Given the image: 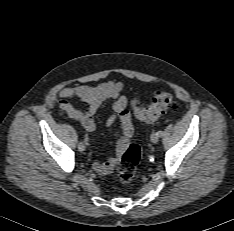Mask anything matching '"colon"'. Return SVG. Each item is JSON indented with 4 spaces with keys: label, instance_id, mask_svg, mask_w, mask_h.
Listing matches in <instances>:
<instances>
[{
    "label": "colon",
    "instance_id": "1",
    "mask_svg": "<svg viewBox=\"0 0 234 231\" xmlns=\"http://www.w3.org/2000/svg\"><path fill=\"white\" fill-rule=\"evenodd\" d=\"M131 104L133 113L138 120L152 123L173 106V98L170 93L162 91L157 93L146 107L141 106L138 100H133ZM140 155V147L137 144L129 143L127 145L116 169L117 177L122 183H129L134 179Z\"/></svg>",
    "mask_w": 234,
    "mask_h": 231
}]
</instances>
